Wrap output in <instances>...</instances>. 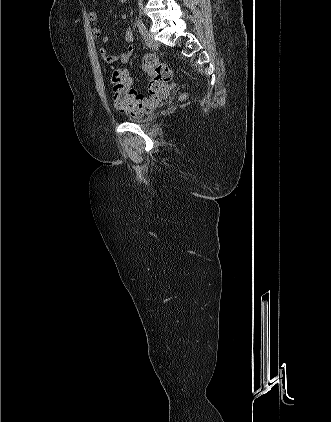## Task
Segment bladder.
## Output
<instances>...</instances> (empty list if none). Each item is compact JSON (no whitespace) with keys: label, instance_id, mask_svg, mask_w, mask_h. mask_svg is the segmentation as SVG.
Masks as SVG:
<instances>
[{"label":"bladder","instance_id":"obj_1","mask_svg":"<svg viewBox=\"0 0 331 422\" xmlns=\"http://www.w3.org/2000/svg\"><path fill=\"white\" fill-rule=\"evenodd\" d=\"M127 120L131 123H135L139 125L149 124L153 120V111L145 113L141 116H131V115L127 116Z\"/></svg>","mask_w":331,"mask_h":422}]
</instances>
